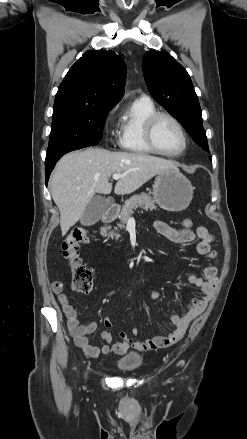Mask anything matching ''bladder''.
I'll list each match as a JSON object with an SVG mask.
<instances>
[{"label":"bladder","mask_w":247,"mask_h":439,"mask_svg":"<svg viewBox=\"0 0 247 439\" xmlns=\"http://www.w3.org/2000/svg\"><path fill=\"white\" fill-rule=\"evenodd\" d=\"M142 356L137 352H130L118 358L115 362L116 367L125 372H132L142 365Z\"/></svg>","instance_id":"1"}]
</instances>
